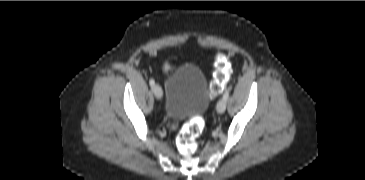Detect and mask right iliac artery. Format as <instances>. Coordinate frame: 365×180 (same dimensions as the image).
Masks as SVG:
<instances>
[{
  "label": "right iliac artery",
  "instance_id": "1",
  "mask_svg": "<svg viewBox=\"0 0 365 180\" xmlns=\"http://www.w3.org/2000/svg\"><path fill=\"white\" fill-rule=\"evenodd\" d=\"M149 84L153 87V86L155 85V81L151 78V79L149 80Z\"/></svg>",
  "mask_w": 365,
  "mask_h": 180
}]
</instances>
